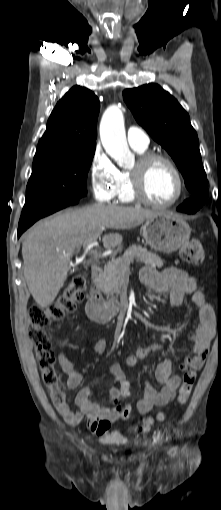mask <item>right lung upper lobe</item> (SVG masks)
<instances>
[{
	"mask_svg": "<svg viewBox=\"0 0 221 510\" xmlns=\"http://www.w3.org/2000/svg\"><path fill=\"white\" fill-rule=\"evenodd\" d=\"M99 99L89 89L72 87L52 111L34 158L96 147Z\"/></svg>",
	"mask_w": 221,
	"mask_h": 510,
	"instance_id": "right-lung-upper-lobe-1",
	"label": "right lung upper lobe"
}]
</instances>
